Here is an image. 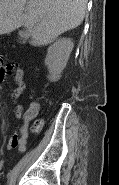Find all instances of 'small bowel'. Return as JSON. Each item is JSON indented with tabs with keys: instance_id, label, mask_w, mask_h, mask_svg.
Wrapping results in <instances>:
<instances>
[{
	"instance_id": "obj_1",
	"label": "small bowel",
	"mask_w": 119,
	"mask_h": 185,
	"mask_svg": "<svg viewBox=\"0 0 119 185\" xmlns=\"http://www.w3.org/2000/svg\"><path fill=\"white\" fill-rule=\"evenodd\" d=\"M15 70V87L10 95L11 100L16 101L21 97L25 89L24 82V70L17 63H1L0 65V82H4L8 72ZM38 112V106L33 104L25 114L22 112L20 105L15 106L14 116L16 120H20L23 117L24 123L18 131H15L8 141V147L18 148L19 151H24L28 139L29 124L33 118L36 117Z\"/></svg>"
}]
</instances>
